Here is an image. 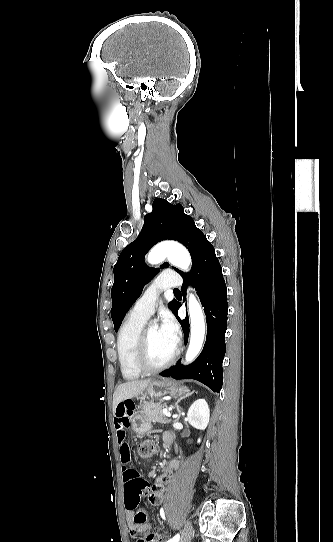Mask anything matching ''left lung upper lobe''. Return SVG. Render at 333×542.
Returning <instances> with one entry per match:
<instances>
[{
    "instance_id": "left-lung-upper-lobe-1",
    "label": "left lung upper lobe",
    "mask_w": 333,
    "mask_h": 542,
    "mask_svg": "<svg viewBox=\"0 0 333 542\" xmlns=\"http://www.w3.org/2000/svg\"><path fill=\"white\" fill-rule=\"evenodd\" d=\"M152 207V212L144 217L140 235L122 250L114 265L111 317L115 331L118 330L125 313L140 296L144 285L159 271L149 268L144 262L145 254L156 243L166 239L182 243L191 254L193 269L202 247L208 241L202 231L195 226L193 219L184 213L181 204L172 205L165 199L156 198ZM168 266V263H164L160 268ZM174 269L182 277L186 275ZM176 303L177 300L173 299L168 305L174 314Z\"/></svg>"
}]
</instances>
